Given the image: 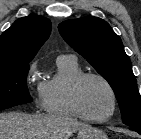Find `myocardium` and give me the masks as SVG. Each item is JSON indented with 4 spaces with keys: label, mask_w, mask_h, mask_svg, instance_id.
I'll return each mask as SVG.
<instances>
[{
    "label": "myocardium",
    "mask_w": 141,
    "mask_h": 139,
    "mask_svg": "<svg viewBox=\"0 0 141 139\" xmlns=\"http://www.w3.org/2000/svg\"><path fill=\"white\" fill-rule=\"evenodd\" d=\"M90 78H95L98 79L100 81H102L106 87L108 88L110 94H111V98H112V107L111 110L109 112V114L103 118H94L89 116L83 109L82 103H81V98H80V91H81V87L83 85V83ZM70 100L72 103V106L74 108V110L77 112V114L90 122L93 123H104L107 122L108 120H110L113 115L116 112L117 109V94L116 91L113 87V85L110 83V81L104 77L103 75L99 74V73H94V72H87V73H83L81 75H79L71 84V88H70Z\"/></svg>",
    "instance_id": "f54148a6"
}]
</instances>
